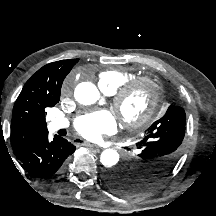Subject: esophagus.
I'll return each instance as SVG.
<instances>
[{
    "instance_id": "esophagus-1",
    "label": "esophagus",
    "mask_w": 216,
    "mask_h": 216,
    "mask_svg": "<svg viewBox=\"0 0 216 216\" xmlns=\"http://www.w3.org/2000/svg\"><path fill=\"white\" fill-rule=\"evenodd\" d=\"M75 140H76V139H75ZM80 140H81V139H80ZM81 144H82V145H85V146H87V147L100 148V147L97 146L96 144L90 143V142L85 141V140H83Z\"/></svg>"
}]
</instances>
